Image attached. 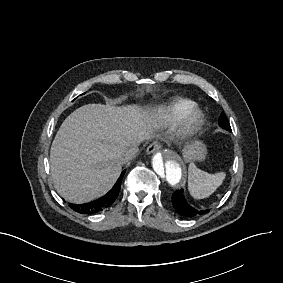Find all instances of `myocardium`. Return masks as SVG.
<instances>
[{
  "mask_svg": "<svg viewBox=\"0 0 283 283\" xmlns=\"http://www.w3.org/2000/svg\"><path fill=\"white\" fill-rule=\"evenodd\" d=\"M203 123V122H202ZM202 125V124H201ZM201 125L199 126L198 129H196L194 132L190 133V134H186V135H177V134H173L171 132H169L167 129V133L171 136L172 140L177 143V144H184L188 141H190L191 139L195 138L201 128Z\"/></svg>",
  "mask_w": 283,
  "mask_h": 283,
  "instance_id": "1",
  "label": "myocardium"
}]
</instances>
